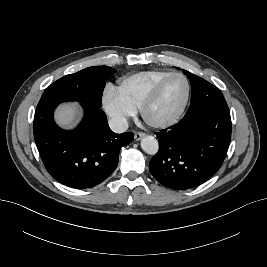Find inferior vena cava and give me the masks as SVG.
I'll return each mask as SVG.
<instances>
[{"mask_svg":"<svg viewBox=\"0 0 267 267\" xmlns=\"http://www.w3.org/2000/svg\"><path fill=\"white\" fill-rule=\"evenodd\" d=\"M108 122L111 130L115 133H123L128 129V122L123 116L112 117Z\"/></svg>","mask_w":267,"mask_h":267,"instance_id":"602c4592","label":"inferior vena cava"}]
</instances>
